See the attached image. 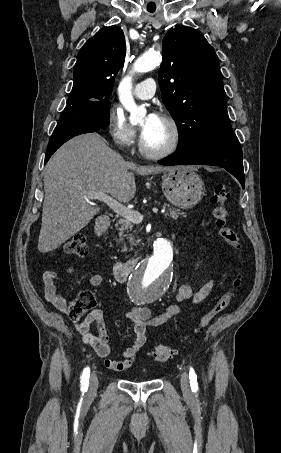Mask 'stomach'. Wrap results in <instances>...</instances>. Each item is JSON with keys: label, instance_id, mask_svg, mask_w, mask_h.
<instances>
[{"label": "stomach", "instance_id": "0dacf381", "mask_svg": "<svg viewBox=\"0 0 281 453\" xmlns=\"http://www.w3.org/2000/svg\"><path fill=\"white\" fill-rule=\"evenodd\" d=\"M162 190L171 204L191 208L203 198L204 182L193 166H177L164 172Z\"/></svg>", "mask_w": 281, "mask_h": 453}]
</instances>
